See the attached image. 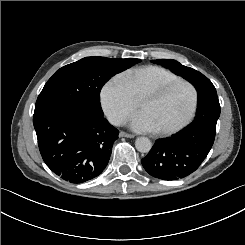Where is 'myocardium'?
<instances>
[{"instance_id":"myocardium-1","label":"myocardium","mask_w":245,"mask_h":245,"mask_svg":"<svg viewBox=\"0 0 245 245\" xmlns=\"http://www.w3.org/2000/svg\"><path fill=\"white\" fill-rule=\"evenodd\" d=\"M182 85L187 86L191 92L192 100H191V106H190L189 112L186 115V117L181 122H179L177 125L171 128H168V129H161V130L157 129V133L162 136H169V135L175 134L181 129H183L184 127H186L191 122V120L193 119L195 115L197 104H198V94H197L196 88L193 86L192 83L186 80H178V81L168 83L165 85H160L157 83L150 84L142 90L137 100V104H138L140 101H142L143 99H145L146 97L154 93H157L158 99H161L165 97L169 92L174 90L176 87L182 86Z\"/></svg>"}]
</instances>
